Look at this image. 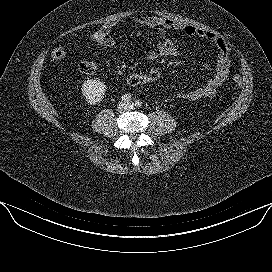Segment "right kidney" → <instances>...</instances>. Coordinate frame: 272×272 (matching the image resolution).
Instances as JSON below:
<instances>
[{
  "mask_svg": "<svg viewBox=\"0 0 272 272\" xmlns=\"http://www.w3.org/2000/svg\"><path fill=\"white\" fill-rule=\"evenodd\" d=\"M81 91L87 103L95 105L104 98L106 85L100 80L90 79L83 83Z\"/></svg>",
  "mask_w": 272,
  "mask_h": 272,
  "instance_id": "1",
  "label": "right kidney"
}]
</instances>
